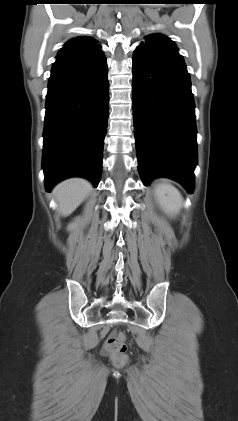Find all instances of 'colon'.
<instances>
[{
	"label": "colon",
	"instance_id": "5ec220e1",
	"mask_svg": "<svg viewBox=\"0 0 238 421\" xmlns=\"http://www.w3.org/2000/svg\"><path fill=\"white\" fill-rule=\"evenodd\" d=\"M126 350V338L121 332H113L105 342V351L110 355L113 364L117 367L126 364Z\"/></svg>",
	"mask_w": 238,
	"mask_h": 421
}]
</instances>
